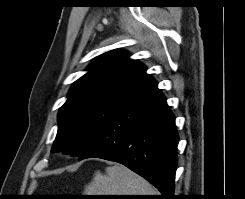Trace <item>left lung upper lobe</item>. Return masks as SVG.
<instances>
[{
	"label": "left lung upper lobe",
	"mask_w": 245,
	"mask_h": 199,
	"mask_svg": "<svg viewBox=\"0 0 245 199\" xmlns=\"http://www.w3.org/2000/svg\"><path fill=\"white\" fill-rule=\"evenodd\" d=\"M129 56L119 50L106 52L74 82L59 111L52 152L80 156L103 125L154 82L145 67Z\"/></svg>",
	"instance_id": "1"
}]
</instances>
